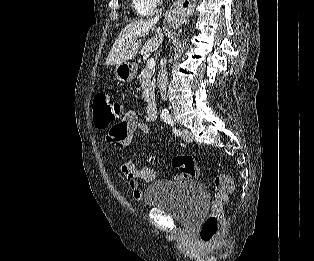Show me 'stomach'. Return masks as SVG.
<instances>
[{
    "label": "stomach",
    "mask_w": 314,
    "mask_h": 261,
    "mask_svg": "<svg viewBox=\"0 0 314 261\" xmlns=\"http://www.w3.org/2000/svg\"><path fill=\"white\" fill-rule=\"evenodd\" d=\"M137 72V65L131 62H123L116 66L115 68V75L116 78L124 83L131 82Z\"/></svg>",
    "instance_id": "obj_1"
}]
</instances>
